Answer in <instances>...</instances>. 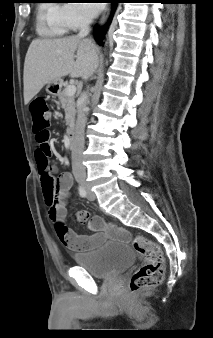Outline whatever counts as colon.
Segmentation results:
<instances>
[{
  "label": "colon",
  "mask_w": 213,
  "mask_h": 338,
  "mask_svg": "<svg viewBox=\"0 0 213 338\" xmlns=\"http://www.w3.org/2000/svg\"><path fill=\"white\" fill-rule=\"evenodd\" d=\"M29 109L33 116L35 139L38 144H46L50 137L49 127L52 121L47 104L43 98H36L30 103ZM35 159L48 216L53 223H57L55 180L52 176L51 156L48 152L38 148L35 152ZM102 227L103 224L98 221L91 224L92 229ZM59 231L65 232V228L59 227ZM131 244L140 255L142 264L130 278V291L137 292L158 286L165 275V260L160 246L142 235L133 237Z\"/></svg>",
  "instance_id": "1"
}]
</instances>
